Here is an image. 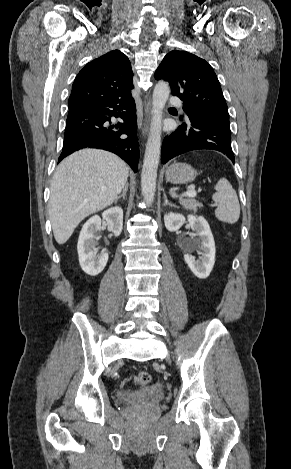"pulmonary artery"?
Instances as JSON below:
<instances>
[{
	"label": "pulmonary artery",
	"instance_id": "e3ab8cb5",
	"mask_svg": "<svg viewBox=\"0 0 291 469\" xmlns=\"http://www.w3.org/2000/svg\"><path fill=\"white\" fill-rule=\"evenodd\" d=\"M169 103L174 106H182V101L178 97H171L169 99Z\"/></svg>",
	"mask_w": 291,
	"mask_h": 469
}]
</instances>
